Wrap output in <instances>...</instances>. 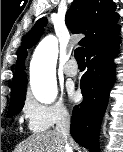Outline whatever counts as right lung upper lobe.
I'll use <instances>...</instances> for the list:
<instances>
[{
    "label": "right lung upper lobe",
    "mask_w": 123,
    "mask_h": 152,
    "mask_svg": "<svg viewBox=\"0 0 123 152\" xmlns=\"http://www.w3.org/2000/svg\"><path fill=\"white\" fill-rule=\"evenodd\" d=\"M118 18L112 0H74L66 13L65 20L73 33H85L79 44L85 46L87 55L119 33L121 26L117 24ZM46 23V18L39 19L23 41L11 84V94L25 88L27 84L24 72L26 50L38 42Z\"/></svg>",
    "instance_id": "1"
}]
</instances>
